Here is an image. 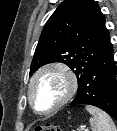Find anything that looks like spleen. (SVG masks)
Wrapping results in <instances>:
<instances>
[{
  "mask_svg": "<svg viewBox=\"0 0 117 131\" xmlns=\"http://www.w3.org/2000/svg\"><path fill=\"white\" fill-rule=\"evenodd\" d=\"M85 108L92 116L89 122L93 131H117L113 120L106 112L90 105Z\"/></svg>",
  "mask_w": 117,
  "mask_h": 131,
  "instance_id": "obj_1",
  "label": "spleen"
}]
</instances>
